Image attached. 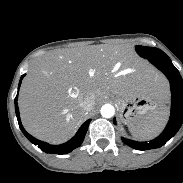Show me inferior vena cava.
I'll return each mask as SVG.
<instances>
[{
  "instance_id": "1",
  "label": "inferior vena cava",
  "mask_w": 183,
  "mask_h": 183,
  "mask_svg": "<svg viewBox=\"0 0 183 183\" xmlns=\"http://www.w3.org/2000/svg\"><path fill=\"white\" fill-rule=\"evenodd\" d=\"M80 107L83 108L84 110L88 111L92 108L93 106V98L90 95H85L82 97L79 101Z\"/></svg>"
}]
</instances>
